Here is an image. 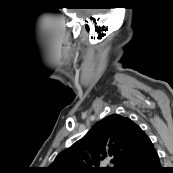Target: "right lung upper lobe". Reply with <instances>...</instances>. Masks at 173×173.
<instances>
[{
    "instance_id": "1",
    "label": "right lung upper lobe",
    "mask_w": 173,
    "mask_h": 173,
    "mask_svg": "<svg viewBox=\"0 0 173 173\" xmlns=\"http://www.w3.org/2000/svg\"><path fill=\"white\" fill-rule=\"evenodd\" d=\"M152 147L151 140L137 124L113 114L62 151L47 173H119L128 161ZM107 162L112 167H104Z\"/></svg>"
}]
</instances>
